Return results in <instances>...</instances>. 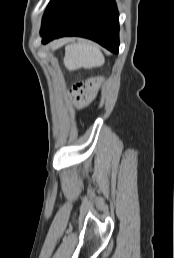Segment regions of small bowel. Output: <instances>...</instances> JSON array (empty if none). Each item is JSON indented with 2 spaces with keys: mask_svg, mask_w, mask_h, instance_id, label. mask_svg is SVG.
<instances>
[{
  "mask_svg": "<svg viewBox=\"0 0 174 258\" xmlns=\"http://www.w3.org/2000/svg\"><path fill=\"white\" fill-rule=\"evenodd\" d=\"M102 82V78L97 77L90 80L79 92L74 94L75 103L79 106L87 104L94 96L96 89Z\"/></svg>",
  "mask_w": 174,
  "mask_h": 258,
  "instance_id": "c3829d8e",
  "label": "small bowel"
}]
</instances>
